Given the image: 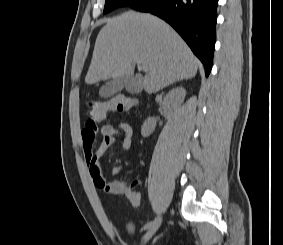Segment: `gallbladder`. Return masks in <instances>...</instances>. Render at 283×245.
Wrapping results in <instances>:
<instances>
[{
  "mask_svg": "<svg viewBox=\"0 0 283 245\" xmlns=\"http://www.w3.org/2000/svg\"><path fill=\"white\" fill-rule=\"evenodd\" d=\"M125 88L130 93H139L142 85L138 77L133 75H122L107 81L99 91L103 98H109Z\"/></svg>",
  "mask_w": 283,
  "mask_h": 245,
  "instance_id": "1",
  "label": "gallbladder"
}]
</instances>
